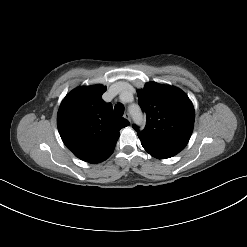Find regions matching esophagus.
I'll use <instances>...</instances> for the list:
<instances>
[{
    "label": "esophagus",
    "instance_id": "esophagus-1",
    "mask_svg": "<svg viewBox=\"0 0 247 247\" xmlns=\"http://www.w3.org/2000/svg\"><path fill=\"white\" fill-rule=\"evenodd\" d=\"M123 117L127 119L129 122H131V117L128 113H125Z\"/></svg>",
    "mask_w": 247,
    "mask_h": 247
}]
</instances>
